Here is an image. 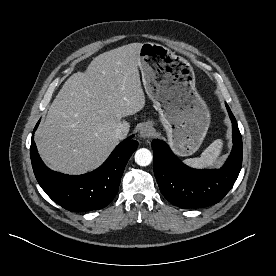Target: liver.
Listing matches in <instances>:
<instances>
[{
  "label": "liver",
  "mask_w": 276,
  "mask_h": 276,
  "mask_svg": "<svg viewBox=\"0 0 276 276\" xmlns=\"http://www.w3.org/2000/svg\"><path fill=\"white\" fill-rule=\"evenodd\" d=\"M141 46L130 43L106 51L85 72L66 80L36 133L39 155L50 169L85 174L98 168L116 147L117 125L128 124L122 118L145 105L138 70Z\"/></svg>",
  "instance_id": "liver-1"
}]
</instances>
